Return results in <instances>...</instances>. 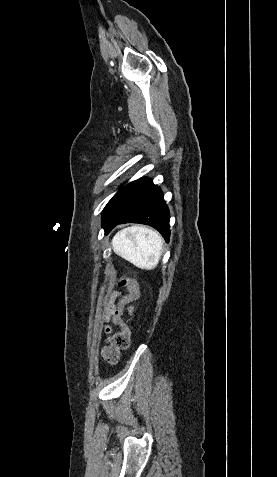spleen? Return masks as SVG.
Here are the masks:
<instances>
[{"label": "spleen", "mask_w": 277, "mask_h": 477, "mask_svg": "<svg viewBox=\"0 0 277 477\" xmlns=\"http://www.w3.org/2000/svg\"><path fill=\"white\" fill-rule=\"evenodd\" d=\"M160 234L144 226H131L119 231L112 239L114 252L140 269L152 270L162 255Z\"/></svg>", "instance_id": "spleen-1"}]
</instances>
